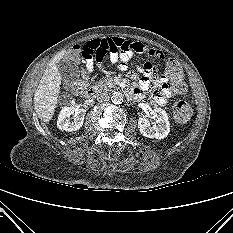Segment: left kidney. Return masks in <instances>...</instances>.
<instances>
[{"label":"left kidney","instance_id":"1","mask_svg":"<svg viewBox=\"0 0 233 233\" xmlns=\"http://www.w3.org/2000/svg\"><path fill=\"white\" fill-rule=\"evenodd\" d=\"M151 115L154 119L153 125H150L149 119L146 117H140L138 119L140 133L151 139L165 138L170 132V124L166 111L161 108H155L151 111Z\"/></svg>","mask_w":233,"mask_h":233}]
</instances>
